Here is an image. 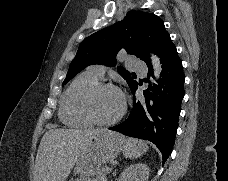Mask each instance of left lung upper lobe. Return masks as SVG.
<instances>
[{
	"label": "left lung upper lobe",
	"instance_id": "5c2ea615",
	"mask_svg": "<svg viewBox=\"0 0 228 181\" xmlns=\"http://www.w3.org/2000/svg\"><path fill=\"white\" fill-rule=\"evenodd\" d=\"M168 37L170 36L165 30L162 20L155 14L129 11L122 21L83 40L62 85H65L89 65L115 66V57L122 47L128 54L146 61L149 59V52H155ZM117 70L129 87L137 83L134 80L136 79L135 73H130L122 66L117 67Z\"/></svg>",
	"mask_w": 228,
	"mask_h": 181
}]
</instances>
